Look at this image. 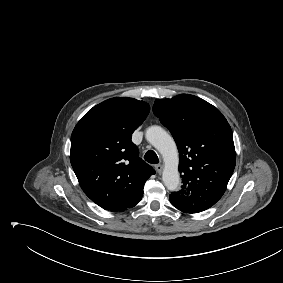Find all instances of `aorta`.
I'll list each match as a JSON object with an SVG mask.
<instances>
[{
    "label": "aorta",
    "mask_w": 283,
    "mask_h": 283,
    "mask_svg": "<svg viewBox=\"0 0 283 283\" xmlns=\"http://www.w3.org/2000/svg\"><path fill=\"white\" fill-rule=\"evenodd\" d=\"M147 141L154 146L164 159L163 182L168 190L175 191L180 185L178 171V150L173 138L160 126H151L146 130Z\"/></svg>",
    "instance_id": "1"
}]
</instances>
